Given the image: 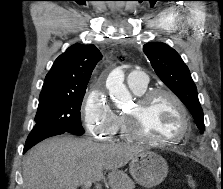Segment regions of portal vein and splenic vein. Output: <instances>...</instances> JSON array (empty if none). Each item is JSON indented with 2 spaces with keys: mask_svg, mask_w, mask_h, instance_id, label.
<instances>
[{
  "mask_svg": "<svg viewBox=\"0 0 223 189\" xmlns=\"http://www.w3.org/2000/svg\"><path fill=\"white\" fill-rule=\"evenodd\" d=\"M91 186H92V181H86V182L84 183V187H85V189H90Z\"/></svg>",
  "mask_w": 223,
  "mask_h": 189,
  "instance_id": "18ae733b",
  "label": "portal vein and splenic vein"
}]
</instances>
